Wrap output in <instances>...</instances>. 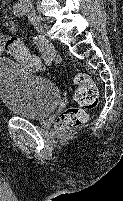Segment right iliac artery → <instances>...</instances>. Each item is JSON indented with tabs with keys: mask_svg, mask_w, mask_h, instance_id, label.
Here are the masks:
<instances>
[{
	"mask_svg": "<svg viewBox=\"0 0 123 201\" xmlns=\"http://www.w3.org/2000/svg\"><path fill=\"white\" fill-rule=\"evenodd\" d=\"M13 12H14V15H16L18 17H23L25 15L24 8H23V6L20 3H15L14 4V6H13ZM34 42L39 47V49L42 52L43 57L45 58V60L48 63V65H50V63H51L50 51L44 45V42H43L42 38L35 36L34 37Z\"/></svg>",
	"mask_w": 123,
	"mask_h": 201,
	"instance_id": "right-iliac-artery-1",
	"label": "right iliac artery"
}]
</instances>
